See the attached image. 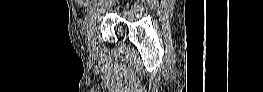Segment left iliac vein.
Wrapping results in <instances>:
<instances>
[{
	"instance_id": "left-iliac-vein-1",
	"label": "left iliac vein",
	"mask_w": 263,
	"mask_h": 92,
	"mask_svg": "<svg viewBox=\"0 0 263 92\" xmlns=\"http://www.w3.org/2000/svg\"><path fill=\"white\" fill-rule=\"evenodd\" d=\"M95 33H96V27H95V21L93 20L90 22V29L87 35L88 45L91 50H94L95 47Z\"/></svg>"
}]
</instances>
